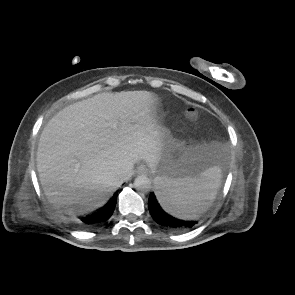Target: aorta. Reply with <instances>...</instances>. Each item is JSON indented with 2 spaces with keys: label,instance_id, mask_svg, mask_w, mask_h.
<instances>
[{
  "label": "aorta",
  "instance_id": "obj_1",
  "mask_svg": "<svg viewBox=\"0 0 295 295\" xmlns=\"http://www.w3.org/2000/svg\"><path fill=\"white\" fill-rule=\"evenodd\" d=\"M134 187L141 192H149L151 189V181L145 175H139L134 180Z\"/></svg>",
  "mask_w": 295,
  "mask_h": 295
}]
</instances>
